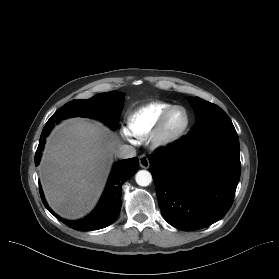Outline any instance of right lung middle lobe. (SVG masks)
<instances>
[{"instance_id": "right-lung-middle-lobe-1", "label": "right lung middle lobe", "mask_w": 279, "mask_h": 279, "mask_svg": "<svg viewBox=\"0 0 279 279\" xmlns=\"http://www.w3.org/2000/svg\"><path fill=\"white\" fill-rule=\"evenodd\" d=\"M124 93L111 91L86 100L66 103L48 120L46 125L75 116L96 117L116 129L123 109Z\"/></svg>"}]
</instances>
